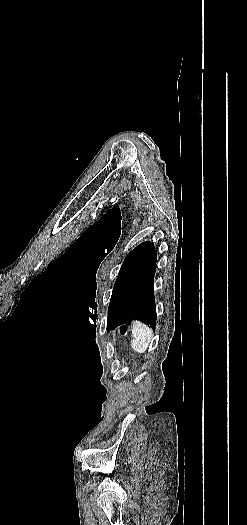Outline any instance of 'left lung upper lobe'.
<instances>
[{
	"label": "left lung upper lobe",
	"mask_w": 247,
	"mask_h": 525,
	"mask_svg": "<svg viewBox=\"0 0 247 525\" xmlns=\"http://www.w3.org/2000/svg\"><path fill=\"white\" fill-rule=\"evenodd\" d=\"M156 255L153 243L143 242L126 256L115 282L108 310L151 266Z\"/></svg>",
	"instance_id": "left-lung-upper-lobe-1"
}]
</instances>
